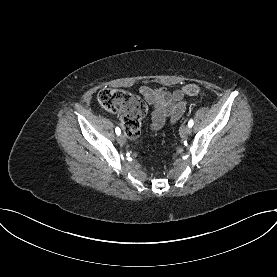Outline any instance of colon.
<instances>
[{"mask_svg":"<svg viewBox=\"0 0 277 277\" xmlns=\"http://www.w3.org/2000/svg\"><path fill=\"white\" fill-rule=\"evenodd\" d=\"M182 91L188 96L203 94L195 84L184 86ZM96 101L105 111L119 113L122 127L133 141H137L141 121L147 113V107L139 97L122 89L103 88L97 93Z\"/></svg>","mask_w":277,"mask_h":277,"instance_id":"obj_1","label":"colon"}]
</instances>
